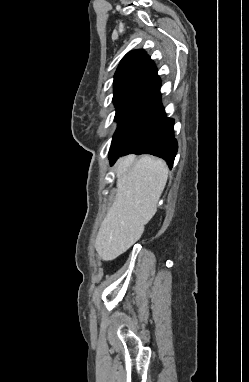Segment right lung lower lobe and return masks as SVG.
Instances as JSON below:
<instances>
[{
  "mask_svg": "<svg viewBox=\"0 0 249 382\" xmlns=\"http://www.w3.org/2000/svg\"><path fill=\"white\" fill-rule=\"evenodd\" d=\"M173 125L174 120L166 117L161 101H157L123 135L112 141L111 165L118 157L133 153L161 157L171 168L178 149Z\"/></svg>",
  "mask_w": 249,
  "mask_h": 382,
  "instance_id": "1",
  "label": "right lung lower lobe"
}]
</instances>
